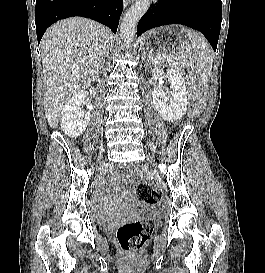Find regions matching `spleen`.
I'll list each match as a JSON object with an SVG mask.
<instances>
[{
	"label": "spleen",
	"mask_w": 265,
	"mask_h": 273,
	"mask_svg": "<svg viewBox=\"0 0 265 273\" xmlns=\"http://www.w3.org/2000/svg\"><path fill=\"white\" fill-rule=\"evenodd\" d=\"M181 31L186 33L190 40V48L193 50V58L195 59L200 78L203 81H207L210 77L212 66L210 45L195 31L186 28H182Z\"/></svg>",
	"instance_id": "obj_1"
}]
</instances>
